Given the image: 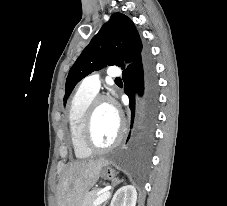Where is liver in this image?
I'll return each mask as SVG.
<instances>
[{
  "label": "liver",
  "instance_id": "liver-1",
  "mask_svg": "<svg viewBox=\"0 0 227 206\" xmlns=\"http://www.w3.org/2000/svg\"><path fill=\"white\" fill-rule=\"evenodd\" d=\"M106 162L105 159H98L70 164L57 187V206H81L84 196L99 179Z\"/></svg>",
  "mask_w": 227,
  "mask_h": 206
}]
</instances>
